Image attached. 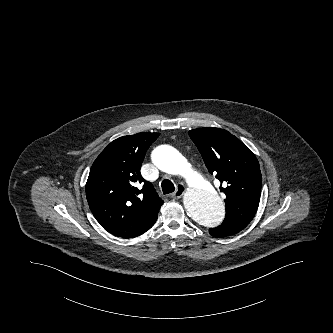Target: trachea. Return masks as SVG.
Instances as JSON below:
<instances>
[{"label":"trachea","mask_w":333,"mask_h":333,"mask_svg":"<svg viewBox=\"0 0 333 333\" xmlns=\"http://www.w3.org/2000/svg\"><path fill=\"white\" fill-rule=\"evenodd\" d=\"M161 187L164 194H169L175 191L174 184L168 179L162 181Z\"/></svg>","instance_id":"1"}]
</instances>
